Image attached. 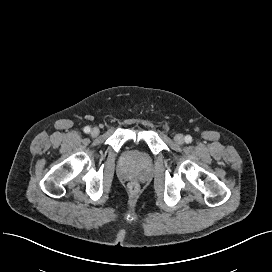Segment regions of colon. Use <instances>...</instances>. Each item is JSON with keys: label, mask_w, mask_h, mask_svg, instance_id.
Listing matches in <instances>:
<instances>
[{"label": "colon", "mask_w": 272, "mask_h": 272, "mask_svg": "<svg viewBox=\"0 0 272 272\" xmlns=\"http://www.w3.org/2000/svg\"><path fill=\"white\" fill-rule=\"evenodd\" d=\"M130 188L132 191H136L138 189V185L136 183H131Z\"/></svg>", "instance_id": "1"}]
</instances>
